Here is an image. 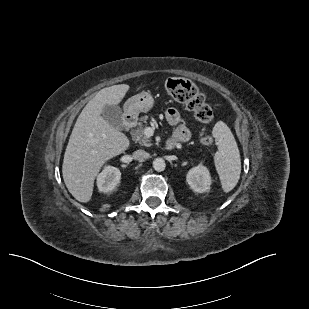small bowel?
Instances as JSON below:
<instances>
[{"mask_svg": "<svg viewBox=\"0 0 309 309\" xmlns=\"http://www.w3.org/2000/svg\"><path fill=\"white\" fill-rule=\"evenodd\" d=\"M165 117L169 124L175 126L172 134L173 139H175L177 142H186L190 139V132L188 128L182 123L181 116L176 109H168L166 111Z\"/></svg>", "mask_w": 309, "mask_h": 309, "instance_id": "small-bowel-1", "label": "small bowel"}]
</instances>
